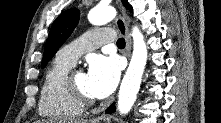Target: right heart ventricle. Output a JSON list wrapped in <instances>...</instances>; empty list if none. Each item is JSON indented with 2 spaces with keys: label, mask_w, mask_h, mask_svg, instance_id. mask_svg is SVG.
Wrapping results in <instances>:
<instances>
[{
  "label": "right heart ventricle",
  "mask_w": 221,
  "mask_h": 123,
  "mask_svg": "<svg viewBox=\"0 0 221 123\" xmlns=\"http://www.w3.org/2000/svg\"><path fill=\"white\" fill-rule=\"evenodd\" d=\"M72 64L56 56L47 68L41 85L39 114L43 117L65 120L80 116L84 107L68 93L65 78Z\"/></svg>",
  "instance_id": "right-heart-ventricle-1"
}]
</instances>
